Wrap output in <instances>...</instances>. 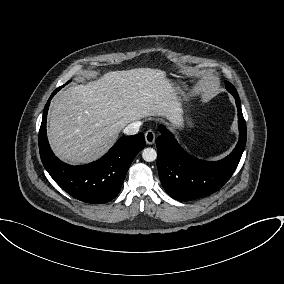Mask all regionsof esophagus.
Returning a JSON list of instances; mask_svg holds the SVG:
<instances>
[{
	"label": "esophagus",
	"instance_id": "1",
	"mask_svg": "<svg viewBox=\"0 0 284 284\" xmlns=\"http://www.w3.org/2000/svg\"><path fill=\"white\" fill-rule=\"evenodd\" d=\"M156 135L152 130H148L145 133V141L147 144L151 145L155 142Z\"/></svg>",
	"mask_w": 284,
	"mask_h": 284
}]
</instances>
